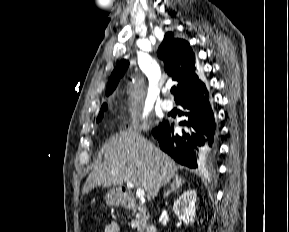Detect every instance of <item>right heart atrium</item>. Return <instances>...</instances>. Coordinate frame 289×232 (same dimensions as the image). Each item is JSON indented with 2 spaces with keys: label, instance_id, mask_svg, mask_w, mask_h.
Segmentation results:
<instances>
[{
  "label": "right heart atrium",
  "instance_id": "obj_1",
  "mask_svg": "<svg viewBox=\"0 0 289 232\" xmlns=\"http://www.w3.org/2000/svg\"><path fill=\"white\" fill-rule=\"evenodd\" d=\"M129 130L144 131L146 129V119L131 117L127 125Z\"/></svg>",
  "mask_w": 289,
  "mask_h": 232
}]
</instances>
